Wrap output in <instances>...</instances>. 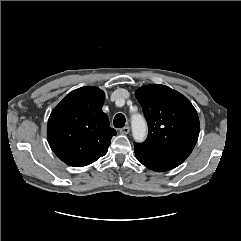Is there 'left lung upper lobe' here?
Segmentation results:
<instances>
[{
  "instance_id": "obj_1",
  "label": "left lung upper lobe",
  "mask_w": 241,
  "mask_h": 241,
  "mask_svg": "<svg viewBox=\"0 0 241 241\" xmlns=\"http://www.w3.org/2000/svg\"><path fill=\"white\" fill-rule=\"evenodd\" d=\"M148 123L149 135L142 145L190 154L197 142L200 123L191 102L181 93L160 84L136 91Z\"/></svg>"
}]
</instances>
